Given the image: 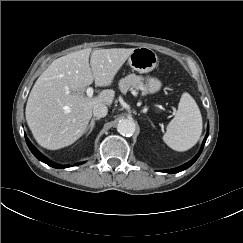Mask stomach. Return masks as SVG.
Masks as SVG:
<instances>
[{
	"instance_id": "1",
	"label": "stomach",
	"mask_w": 243,
	"mask_h": 243,
	"mask_svg": "<svg viewBox=\"0 0 243 243\" xmlns=\"http://www.w3.org/2000/svg\"><path fill=\"white\" fill-rule=\"evenodd\" d=\"M128 64L139 73H149L157 66L158 56L150 48L138 47L128 57ZM146 87L148 93H155L160 89L161 82L157 78L147 77Z\"/></svg>"
}]
</instances>
